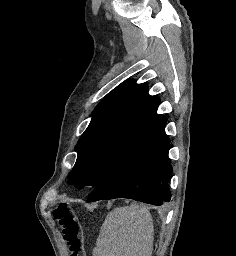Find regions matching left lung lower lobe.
I'll use <instances>...</instances> for the list:
<instances>
[{"label":"left lung lower lobe","instance_id":"obj_1","mask_svg":"<svg viewBox=\"0 0 236 256\" xmlns=\"http://www.w3.org/2000/svg\"><path fill=\"white\" fill-rule=\"evenodd\" d=\"M167 119L155 113L129 140L115 165L95 187L87 202L130 198L161 205L170 201L172 167L168 159Z\"/></svg>","mask_w":236,"mask_h":256}]
</instances>
